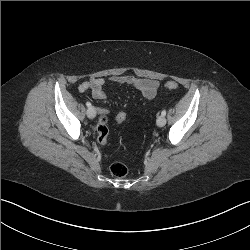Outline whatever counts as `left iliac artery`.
I'll list each match as a JSON object with an SVG mask.
<instances>
[{"label":"left iliac artery","instance_id":"1","mask_svg":"<svg viewBox=\"0 0 250 250\" xmlns=\"http://www.w3.org/2000/svg\"><path fill=\"white\" fill-rule=\"evenodd\" d=\"M161 115H162V116H165V115H166V110H163V111L161 112Z\"/></svg>","mask_w":250,"mask_h":250}]
</instances>
